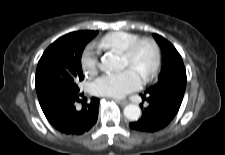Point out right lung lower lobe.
I'll return each instance as SVG.
<instances>
[{"label": "right lung lower lobe", "instance_id": "1", "mask_svg": "<svg viewBox=\"0 0 225 155\" xmlns=\"http://www.w3.org/2000/svg\"><path fill=\"white\" fill-rule=\"evenodd\" d=\"M83 96V94H80ZM77 93H62L40 103L47 120L57 130L65 134L80 135L89 131L97 121L99 99L93 97L80 111L75 103L80 102Z\"/></svg>", "mask_w": 225, "mask_h": 155}]
</instances>
